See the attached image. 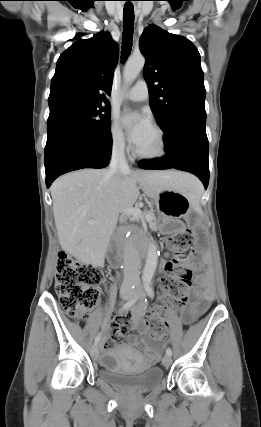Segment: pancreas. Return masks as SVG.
<instances>
[{
    "instance_id": "pancreas-1",
    "label": "pancreas",
    "mask_w": 261,
    "mask_h": 427,
    "mask_svg": "<svg viewBox=\"0 0 261 427\" xmlns=\"http://www.w3.org/2000/svg\"><path fill=\"white\" fill-rule=\"evenodd\" d=\"M146 214L149 216V219H147L149 226L152 230H156L157 229V224H156V217L153 211H148L146 212Z\"/></svg>"
}]
</instances>
